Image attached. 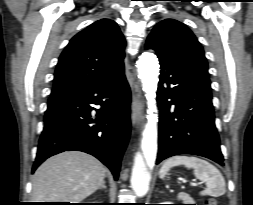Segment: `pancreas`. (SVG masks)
Here are the masks:
<instances>
[{
  "instance_id": "pancreas-1",
  "label": "pancreas",
  "mask_w": 253,
  "mask_h": 205,
  "mask_svg": "<svg viewBox=\"0 0 253 205\" xmlns=\"http://www.w3.org/2000/svg\"><path fill=\"white\" fill-rule=\"evenodd\" d=\"M178 199L184 201L185 204L191 203L193 199L185 192H180L178 194Z\"/></svg>"
}]
</instances>
